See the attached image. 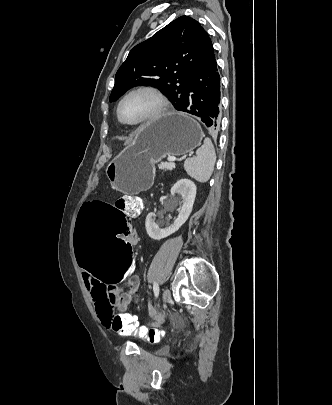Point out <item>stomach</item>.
I'll use <instances>...</instances> for the list:
<instances>
[{"label":"stomach","mask_w":332,"mask_h":405,"mask_svg":"<svg viewBox=\"0 0 332 405\" xmlns=\"http://www.w3.org/2000/svg\"><path fill=\"white\" fill-rule=\"evenodd\" d=\"M204 133L190 115L171 112L138 129L132 144L106 167L112 186L125 194H137L151 186L154 164L166 156L185 155L200 146Z\"/></svg>","instance_id":"stomach-1"}]
</instances>
